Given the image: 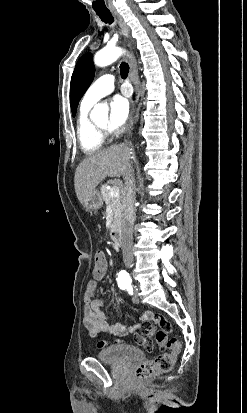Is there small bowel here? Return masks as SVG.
Returning <instances> with one entry per match:
<instances>
[{"instance_id":"1","label":"small bowel","mask_w":247,"mask_h":413,"mask_svg":"<svg viewBox=\"0 0 247 413\" xmlns=\"http://www.w3.org/2000/svg\"><path fill=\"white\" fill-rule=\"evenodd\" d=\"M92 280L93 282L86 283L83 295V324L89 336L96 339L103 333L117 337L136 333L134 341L138 343V347L149 349V352L153 353L154 324H159L160 331H171L173 324L166 322L164 315H153L151 311L143 312L136 323L127 325L122 320L110 323L109 316L101 311L104 302L100 299H92L97 291V283H102L104 277L102 274H94Z\"/></svg>"}]
</instances>
